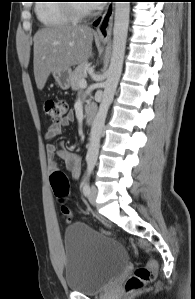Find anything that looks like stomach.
Masks as SVG:
<instances>
[{"instance_id":"1","label":"stomach","mask_w":195,"mask_h":299,"mask_svg":"<svg viewBox=\"0 0 195 299\" xmlns=\"http://www.w3.org/2000/svg\"><path fill=\"white\" fill-rule=\"evenodd\" d=\"M101 41L106 42V39L101 38ZM72 74V70L68 68L66 70L53 72V77L58 86L66 90L71 86Z\"/></svg>"}]
</instances>
